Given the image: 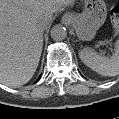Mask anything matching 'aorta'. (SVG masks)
Wrapping results in <instances>:
<instances>
[{
	"instance_id": "762f6f07",
	"label": "aorta",
	"mask_w": 119,
	"mask_h": 119,
	"mask_svg": "<svg viewBox=\"0 0 119 119\" xmlns=\"http://www.w3.org/2000/svg\"><path fill=\"white\" fill-rule=\"evenodd\" d=\"M51 38L54 41H62L66 38L67 36V31L66 28L62 25H55L51 29Z\"/></svg>"
}]
</instances>
